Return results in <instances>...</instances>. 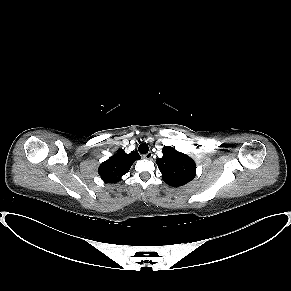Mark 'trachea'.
Wrapping results in <instances>:
<instances>
[{"mask_svg":"<svg viewBox=\"0 0 291 291\" xmlns=\"http://www.w3.org/2000/svg\"><path fill=\"white\" fill-rule=\"evenodd\" d=\"M138 150L141 154H146L149 151V147L146 143H142L139 145Z\"/></svg>","mask_w":291,"mask_h":291,"instance_id":"trachea-1","label":"trachea"}]
</instances>
